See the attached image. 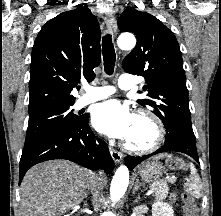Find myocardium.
<instances>
[{
  "label": "myocardium",
  "instance_id": "obj_1",
  "mask_svg": "<svg viewBox=\"0 0 221 216\" xmlns=\"http://www.w3.org/2000/svg\"><path fill=\"white\" fill-rule=\"evenodd\" d=\"M135 118H143L151 123L154 128V138L150 144L144 146L133 145L125 140L123 148L134 154H145L156 150L163 143L165 137V127L162 120L154 112L145 108L138 109Z\"/></svg>",
  "mask_w": 221,
  "mask_h": 216
}]
</instances>
